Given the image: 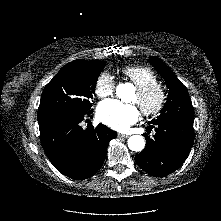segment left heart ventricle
<instances>
[{
  "instance_id": "left-heart-ventricle-1",
  "label": "left heart ventricle",
  "mask_w": 221,
  "mask_h": 221,
  "mask_svg": "<svg viewBox=\"0 0 221 221\" xmlns=\"http://www.w3.org/2000/svg\"><path fill=\"white\" fill-rule=\"evenodd\" d=\"M132 101L137 103V96H136V93L133 95V97H132Z\"/></svg>"
}]
</instances>
